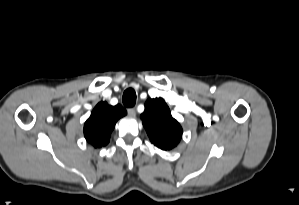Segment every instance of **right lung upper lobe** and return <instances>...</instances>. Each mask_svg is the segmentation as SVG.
<instances>
[{"label":"right lung upper lobe","instance_id":"cb5924a9","mask_svg":"<svg viewBox=\"0 0 299 205\" xmlns=\"http://www.w3.org/2000/svg\"><path fill=\"white\" fill-rule=\"evenodd\" d=\"M124 115L126 110L120 105L113 107L106 102L98 103L84 125L87 142L95 148L106 145L117 120Z\"/></svg>","mask_w":299,"mask_h":205}]
</instances>
